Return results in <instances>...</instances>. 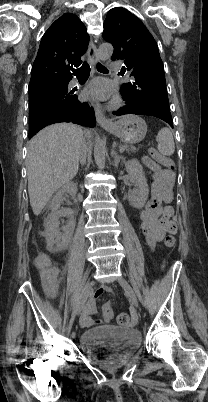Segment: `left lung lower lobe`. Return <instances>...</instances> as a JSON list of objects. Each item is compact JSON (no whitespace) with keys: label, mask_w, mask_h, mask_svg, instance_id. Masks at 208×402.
<instances>
[{"label":"left lung lower lobe","mask_w":208,"mask_h":402,"mask_svg":"<svg viewBox=\"0 0 208 402\" xmlns=\"http://www.w3.org/2000/svg\"><path fill=\"white\" fill-rule=\"evenodd\" d=\"M122 98L125 101V106L113 112V114L115 115L136 114V115L154 116L164 120L173 128V120L171 117V113L168 109L151 104L135 103L133 101L127 100L123 95Z\"/></svg>","instance_id":"left-lung-lower-lobe-1"}]
</instances>
